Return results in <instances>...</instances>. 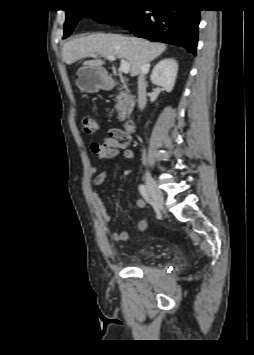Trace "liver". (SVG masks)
Instances as JSON below:
<instances>
[{
    "instance_id": "obj_1",
    "label": "liver",
    "mask_w": 254,
    "mask_h": 355,
    "mask_svg": "<svg viewBox=\"0 0 254 355\" xmlns=\"http://www.w3.org/2000/svg\"><path fill=\"white\" fill-rule=\"evenodd\" d=\"M165 50V44L153 43L142 38L95 33L84 37H77L65 43L62 57L67 65H71L87 57L114 55L130 63V74L134 77L140 73L143 65H146L149 70V63L160 56ZM103 64L104 61L97 58L84 62V65L94 67H101Z\"/></svg>"
}]
</instances>
